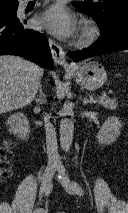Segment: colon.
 <instances>
[{
  "mask_svg": "<svg viewBox=\"0 0 128 213\" xmlns=\"http://www.w3.org/2000/svg\"><path fill=\"white\" fill-rule=\"evenodd\" d=\"M12 142L5 141L0 145V178H7L11 175V166L10 162L12 159L11 151ZM58 213H65L60 211Z\"/></svg>",
  "mask_w": 128,
  "mask_h": 213,
  "instance_id": "1",
  "label": "colon"
}]
</instances>
